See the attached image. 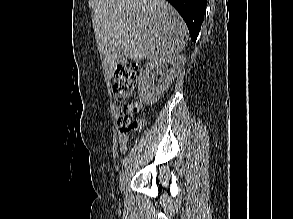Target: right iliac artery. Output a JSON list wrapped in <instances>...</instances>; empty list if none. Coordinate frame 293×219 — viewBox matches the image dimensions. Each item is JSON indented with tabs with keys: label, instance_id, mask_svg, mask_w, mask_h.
Listing matches in <instances>:
<instances>
[{
	"label": "right iliac artery",
	"instance_id": "1",
	"mask_svg": "<svg viewBox=\"0 0 293 219\" xmlns=\"http://www.w3.org/2000/svg\"><path fill=\"white\" fill-rule=\"evenodd\" d=\"M133 157H134V151L132 150L131 153L128 155V157L124 160L123 165L125 168L130 165Z\"/></svg>",
	"mask_w": 293,
	"mask_h": 219
}]
</instances>
